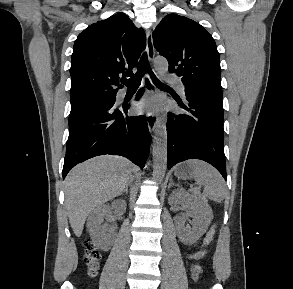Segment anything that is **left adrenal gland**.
<instances>
[{
  "label": "left adrenal gland",
  "instance_id": "1",
  "mask_svg": "<svg viewBox=\"0 0 293 289\" xmlns=\"http://www.w3.org/2000/svg\"><path fill=\"white\" fill-rule=\"evenodd\" d=\"M172 185H173L172 178H170V183L168 185V188H170Z\"/></svg>",
  "mask_w": 293,
  "mask_h": 289
}]
</instances>
